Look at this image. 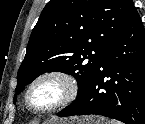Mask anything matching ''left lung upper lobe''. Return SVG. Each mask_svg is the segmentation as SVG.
Instances as JSON below:
<instances>
[{"label":"left lung upper lobe","instance_id":"left-lung-upper-lobe-1","mask_svg":"<svg viewBox=\"0 0 145 124\" xmlns=\"http://www.w3.org/2000/svg\"><path fill=\"white\" fill-rule=\"evenodd\" d=\"M134 9L132 0H50L31 33L15 91L59 71L75 77L80 97Z\"/></svg>","mask_w":145,"mask_h":124}]
</instances>
